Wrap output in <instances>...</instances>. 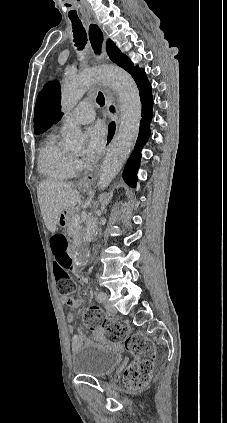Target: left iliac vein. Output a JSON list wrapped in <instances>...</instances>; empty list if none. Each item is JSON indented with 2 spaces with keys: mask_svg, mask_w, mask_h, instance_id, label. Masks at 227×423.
Masks as SVG:
<instances>
[{
  "mask_svg": "<svg viewBox=\"0 0 227 423\" xmlns=\"http://www.w3.org/2000/svg\"><path fill=\"white\" fill-rule=\"evenodd\" d=\"M104 304H105L107 311H109L110 313H113V314L116 313V309L112 306V304L110 302L107 301V296L104 300Z\"/></svg>",
  "mask_w": 227,
  "mask_h": 423,
  "instance_id": "obj_1",
  "label": "left iliac vein"
}]
</instances>
